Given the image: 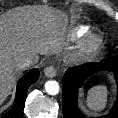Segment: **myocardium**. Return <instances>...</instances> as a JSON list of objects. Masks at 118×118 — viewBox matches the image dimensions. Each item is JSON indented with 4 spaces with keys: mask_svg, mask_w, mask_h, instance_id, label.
Listing matches in <instances>:
<instances>
[{
    "mask_svg": "<svg viewBox=\"0 0 118 118\" xmlns=\"http://www.w3.org/2000/svg\"><path fill=\"white\" fill-rule=\"evenodd\" d=\"M103 46V39L98 34H88L81 42L79 56L86 58L96 54Z\"/></svg>",
    "mask_w": 118,
    "mask_h": 118,
    "instance_id": "f54148a6",
    "label": "myocardium"
}]
</instances>
